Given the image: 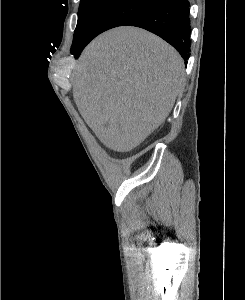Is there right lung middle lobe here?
<instances>
[{
	"label": "right lung middle lobe",
	"instance_id": "1",
	"mask_svg": "<svg viewBox=\"0 0 245 300\" xmlns=\"http://www.w3.org/2000/svg\"><path fill=\"white\" fill-rule=\"evenodd\" d=\"M158 0H81L72 47L88 44L98 34L122 26Z\"/></svg>",
	"mask_w": 245,
	"mask_h": 300
}]
</instances>
